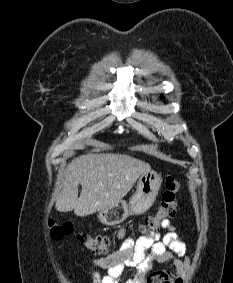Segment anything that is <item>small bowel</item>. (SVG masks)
Returning <instances> with one entry per match:
<instances>
[{"label":"small bowel","mask_w":233,"mask_h":283,"mask_svg":"<svg viewBox=\"0 0 233 283\" xmlns=\"http://www.w3.org/2000/svg\"><path fill=\"white\" fill-rule=\"evenodd\" d=\"M168 232L164 235L152 233L134 240L125 238L126 229L118 232V239H124L118 251L102 258H95L92 264L106 270L105 275L91 272L93 283H183L190 271V259L187 248L175 232L169 220L161 224ZM171 261L176 275L168 271H153L155 263ZM125 267L136 270L132 278L122 280Z\"/></svg>","instance_id":"c3829d8e"}]
</instances>
